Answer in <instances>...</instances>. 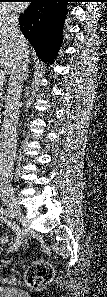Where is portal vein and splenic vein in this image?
I'll return each instance as SVG.
<instances>
[{
    "label": "portal vein and splenic vein",
    "mask_w": 107,
    "mask_h": 297,
    "mask_svg": "<svg viewBox=\"0 0 107 297\" xmlns=\"http://www.w3.org/2000/svg\"><path fill=\"white\" fill-rule=\"evenodd\" d=\"M4 79H5V76H4V74H1V75H0V81H1V82H3V81H4Z\"/></svg>",
    "instance_id": "portal-vein-and-splenic-vein-1"
}]
</instances>
